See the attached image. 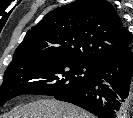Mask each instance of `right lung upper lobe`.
<instances>
[{"label":"right lung upper lobe","instance_id":"right-lung-upper-lobe-1","mask_svg":"<svg viewBox=\"0 0 133 118\" xmlns=\"http://www.w3.org/2000/svg\"><path fill=\"white\" fill-rule=\"evenodd\" d=\"M129 46V33L106 0H76L28 30L7 69L60 58L95 67Z\"/></svg>","mask_w":133,"mask_h":118}]
</instances>
